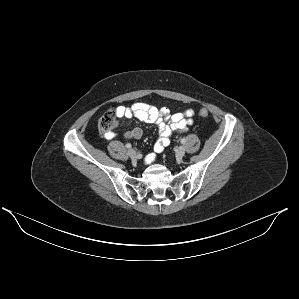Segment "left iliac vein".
Segmentation results:
<instances>
[{"mask_svg":"<svg viewBox=\"0 0 299 299\" xmlns=\"http://www.w3.org/2000/svg\"><path fill=\"white\" fill-rule=\"evenodd\" d=\"M185 155V148L183 146H180L176 149V156L181 158Z\"/></svg>","mask_w":299,"mask_h":299,"instance_id":"obj_1","label":"left iliac vein"}]
</instances>
